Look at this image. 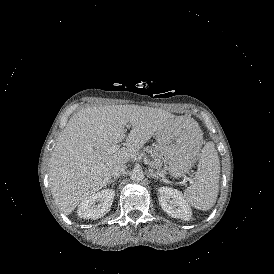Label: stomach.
<instances>
[{"mask_svg": "<svg viewBox=\"0 0 274 274\" xmlns=\"http://www.w3.org/2000/svg\"><path fill=\"white\" fill-rule=\"evenodd\" d=\"M199 127L195 121L177 124L165 134L158 133V150L166 162L168 176L177 180L191 171L193 161L199 151L201 142H198ZM196 147V152L192 149Z\"/></svg>", "mask_w": 274, "mask_h": 274, "instance_id": "stomach-1", "label": "stomach"}]
</instances>
